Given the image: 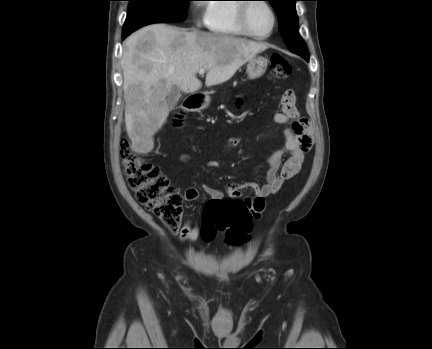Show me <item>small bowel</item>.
Segmentation results:
<instances>
[{
	"label": "small bowel",
	"instance_id": "small-bowel-1",
	"mask_svg": "<svg viewBox=\"0 0 432 349\" xmlns=\"http://www.w3.org/2000/svg\"><path fill=\"white\" fill-rule=\"evenodd\" d=\"M241 100H238V106L241 105ZM274 122L284 126V143L283 145L270 154L267 158L268 170L266 173V183L259 185L257 183L248 182L244 184H228L225 187L227 198L244 200L252 212L254 219H259L265 209V198L276 193L283 183L293 178L301 169L305 154L313 145V129L310 121L307 118L299 117V113L295 106L294 94L291 90L285 92L282 98V110L274 115ZM240 143V138L234 137L228 140L218 156L225 151L235 148ZM285 154H289L286 161H282ZM190 157L184 155L181 157L182 162L189 161ZM209 168H217L220 166L219 159L213 158L208 161ZM250 188L253 195L242 198V189ZM204 192L212 199V201H221L225 198V194L205 185ZM199 197V191L196 187H190L185 192V200L188 202L195 201ZM199 236V227L191 221H186L179 233V238L182 242L192 243Z\"/></svg>",
	"mask_w": 432,
	"mask_h": 349
}]
</instances>
